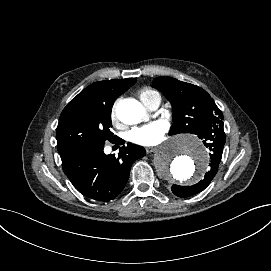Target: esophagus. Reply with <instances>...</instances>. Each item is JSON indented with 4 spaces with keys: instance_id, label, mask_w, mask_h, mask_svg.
<instances>
[{
    "instance_id": "34e87169",
    "label": "esophagus",
    "mask_w": 271,
    "mask_h": 271,
    "mask_svg": "<svg viewBox=\"0 0 271 271\" xmlns=\"http://www.w3.org/2000/svg\"><path fill=\"white\" fill-rule=\"evenodd\" d=\"M145 150L147 153H152L155 150H157V147L156 146H149V147H146Z\"/></svg>"
}]
</instances>
